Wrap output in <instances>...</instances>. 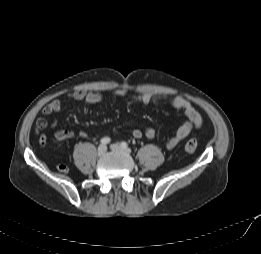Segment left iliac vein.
I'll return each instance as SVG.
<instances>
[{
  "instance_id": "4c4485c4",
  "label": "left iliac vein",
  "mask_w": 261,
  "mask_h": 254,
  "mask_svg": "<svg viewBox=\"0 0 261 254\" xmlns=\"http://www.w3.org/2000/svg\"><path fill=\"white\" fill-rule=\"evenodd\" d=\"M110 148L113 151H118V150H123L126 153H130V149L129 148H123L122 146H120L119 144H111Z\"/></svg>"
}]
</instances>
